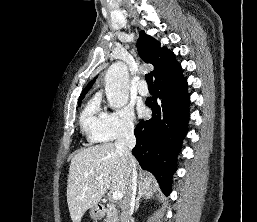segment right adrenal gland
<instances>
[{"label": "right adrenal gland", "instance_id": "obj_1", "mask_svg": "<svg viewBox=\"0 0 257 222\" xmlns=\"http://www.w3.org/2000/svg\"><path fill=\"white\" fill-rule=\"evenodd\" d=\"M153 193L151 190L149 191H144L139 189L138 191V197L136 199V208L135 210H137L139 208V202L141 201L142 198L144 199H150L152 197Z\"/></svg>", "mask_w": 257, "mask_h": 222}]
</instances>
